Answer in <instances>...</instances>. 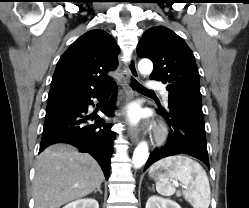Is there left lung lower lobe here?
I'll list each match as a JSON object with an SVG mask.
<instances>
[{
	"mask_svg": "<svg viewBox=\"0 0 249 208\" xmlns=\"http://www.w3.org/2000/svg\"><path fill=\"white\" fill-rule=\"evenodd\" d=\"M159 110L169 123L168 141L165 146L150 153L144 169L176 154H189L210 168L202 108L169 98L167 109L159 106Z\"/></svg>",
	"mask_w": 249,
	"mask_h": 208,
	"instance_id": "obj_1",
	"label": "left lung lower lobe"
}]
</instances>
